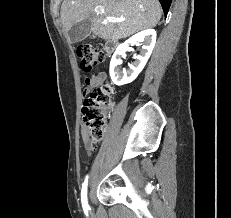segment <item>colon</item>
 <instances>
[{
  "label": "colon",
  "instance_id": "1",
  "mask_svg": "<svg viewBox=\"0 0 231 218\" xmlns=\"http://www.w3.org/2000/svg\"><path fill=\"white\" fill-rule=\"evenodd\" d=\"M80 67L83 71H91L105 62L103 49L90 44H80L76 48ZM112 90L109 85H98L91 89L89 97L84 101L82 117L90 139L96 143L102 139L106 129V116L112 108Z\"/></svg>",
  "mask_w": 231,
  "mask_h": 218
}]
</instances>
